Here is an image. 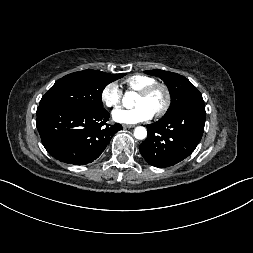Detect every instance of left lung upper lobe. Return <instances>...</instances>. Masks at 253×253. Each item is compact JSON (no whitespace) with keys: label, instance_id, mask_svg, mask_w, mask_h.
<instances>
[{"label":"left lung upper lobe","instance_id":"1","mask_svg":"<svg viewBox=\"0 0 253 253\" xmlns=\"http://www.w3.org/2000/svg\"><path fill=\"white\" fill-rule=\"evenodd\" d=\"M144 72L149 75L160 77L169 89L171 104L164 117H168L176 110L180 109L193 95L199 93L195 86L182 75L159 69Z\"/></svg>","mask_w":253,"mask_h":253}]
</instances>
